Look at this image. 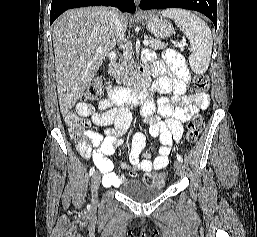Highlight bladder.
<instances>
[{"mask_svg":"<svg viewBox=\"0 0 257 237\" xmlns=\"http://www.w3.org/2000/svg\"><path fill=\"white\" fill-rule=\"evenodd\" d=\"M164 191L161 185H151L141 181H131L125 188V195L138 203L149 202Z\"/></svg>","mask_w":257,"mask_h":237,"instance_id":"1","label":"bladder"}]
</instances>
